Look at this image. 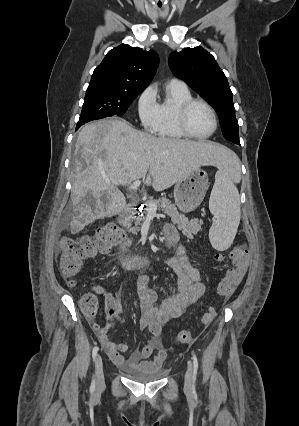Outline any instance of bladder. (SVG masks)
Returning <instances> with one entry per match:
<instances>
[{"instance_id": "obj_1", "label": "bladder", "mask_w": 299, "mask_h": 426, "mask_svg": "<svg viewBox=\"0 0 299 426\" xmlns=\"http://www.w3.org/2000/svg\"><path fill=\"white\" fill-rule=\"evenodd\" d=\"M124 373L133 381L142 382V383H148V382H155L167 374V371L165 368L158 367V368H151V369H125Z\"/></svg>"}]
</instances>
